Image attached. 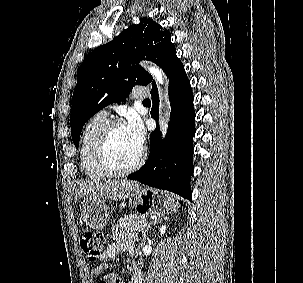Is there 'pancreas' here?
<instances>
[{"label":"pancreas","mask_w":303,"mask_h":283,"mask_svg":"<svg viewBox=\"0 0 303 283\" xmlns=\"http://www.w3.org/2000/svg\"><path fill=\"white\" fill-rule=\"evenodd\" d=\"M146 223L144 215L130 214L118 220V227L122 232L143 231Z\"/></svg>","instance_id":"obj_1"}]
</instances>
